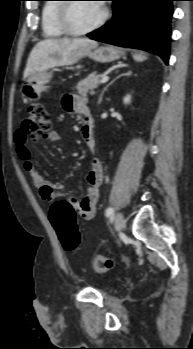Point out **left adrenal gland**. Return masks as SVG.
Here are the masks:
<instances>
[{
	"mask_svg": "<svg viewBox=\"0 0 193 349\" xmlns=\"http://www.w3.org/2000/svg\"><path fill=\"white\" fill-rule=\"evenodd\" d=\"M132 74L131 71L127 72V73H124V74H121L119 76H117L114 80H112L109 84H107L104 89L101 91L100 95H99V99H98V104H100L102 102V98H103V95L105 93V91H107L108 87L110 85H112L117 79H119L120 77L122 76H130Z\"/></svg>",
	"mask_w": 193,
	"mask_h": 349,
	"instance_id": "left-adrenal-gland-1",
	"label": "left adrenal gland"
}]
</instances>
